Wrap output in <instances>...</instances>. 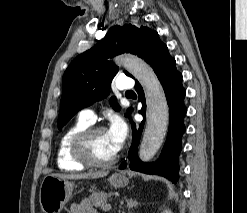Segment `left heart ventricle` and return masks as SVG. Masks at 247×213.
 <instances>
[{
	"label": "left heart ventricle",
	"mask_w": 247,
	"mask_h": 213,
	"mask_svg": "<svg viewBox=\"0 0 247 213\" xmlns=\"http://www.w3.org/2000/svg\"><path fill=\"white\" fill-rule=\"evenodd\" d=\"M89 153L99 161L109 160L116 154L107 131L99 132L91 139Z\"/></svg>",
	"instance_id": "b2bd125f"
}]
</instances>
